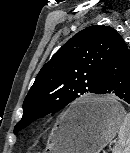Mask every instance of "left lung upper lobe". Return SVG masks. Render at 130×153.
Instances as JSON below:
<instances>
[{"instance_id": "left-lung-upper-lobe-1", "label": "left lung upper lobe", "mask_w": 130, "mask_h": 153, "mask_svg": "<svg viewBox=\"0 0 130 153\" xmlns=\"http://www.w3.org/2000/svg\"><path fill=\"white\" fill-rule=\"evenodd\" d=\"M122 40L109 26H90L69 39L38 73L23 102V117L14 133L81 100L83 94H97L104 69Z\"/></svg>"}]
</instances>
